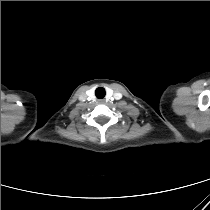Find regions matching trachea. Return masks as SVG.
Segmentation results:
<instances>
[{"instance_id": "1", "label": "trachea", "mask_w": 210, "mask_h": 210, "mask_svg": "<svg viewBox=\"0 0 210 210\" xmlns=\"http://www.w3.org/2000/svg\"><path fill=\"white\" fill-rule=\"evenodd\" d=\"M95 94L97 98L101 99L105 96V89L102 87L97 88Z\"/></svg>"}]
</instances>
